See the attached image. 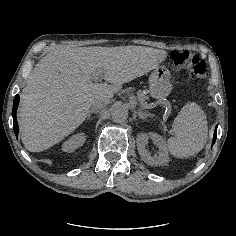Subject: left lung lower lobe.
Returning a JSON list of instances; mask_svg holds the SVG:
<instances>
[{
	"instance_id": "1",
	"label": "left lung lower lobe",
	"mask_w": 236,
	"mask_h": 236,
	"mask_svg": "<svg viewBox=\"0 0 236 236\" xmlns=\"http://www.w3.org/2000/svg\"><path fill=\"white\" fill-rule=\"evenodd\" d=\"M216 136H217V127L214 131V136H213V143L216 141Z\"/></svg>"
}]
</instances>
